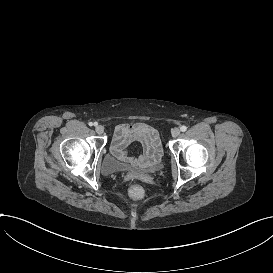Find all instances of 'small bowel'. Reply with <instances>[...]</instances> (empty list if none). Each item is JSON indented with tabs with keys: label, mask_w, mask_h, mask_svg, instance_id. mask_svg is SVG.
Masks as SVG:
<instances>
[{
	"label": "small bowel",
	"mask_w": 273,
	"mask_h": 273,
	"mask_svg": "<svg viewBox=\"0 0 273 273\" xmlns=\"http://www.w3.org/2000/svg\"><path fill=\"white\" fill-rule=\"evenodd\" d=\"M139 137L143 143V155L139 158L129 157L125 148L134 138ZM112 154L119 160L126 162V167L135 170L142 167H154L161 158L162 149L155 132L143 122H125L116 126Z\"/></svg>",
	"instance_id": "obj_1"
}]
</instances>
